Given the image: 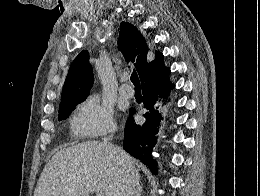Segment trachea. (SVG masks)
Here are the masks:
<instances>
[{
    "label": "trachea",
    "instance_id": "3493384b",
    "mask_svg": "<svg viewBox=\"0 0 260 196\" xmlns=\"http://www.w3.org/2000/svg\"><path fill=\"white\" fill-rule=\"evenodd\" d=\"M130 79H131L132 83L134 84V86H141V83H140V80L136 73V70H133Z\"/></svg>",
    "mask_w": 260,
    "mask_h": 196
}]
</instances>
